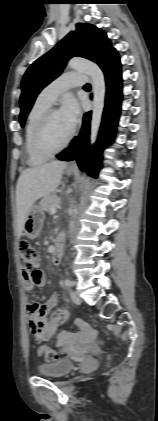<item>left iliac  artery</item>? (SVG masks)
Wrapping results in <instances>:
<instances>
[{
  "label": "left iliac artery",
  "mask_w": 158,
  "mask_h": 421,
  "mask_svg": "<svg viewBox=\"0 0 158 421\" xmlns=\"http://www.w3.org/2000/svg\"><path fill=\"white\" fill-rule=\"evenodd\" d=\"M64 283H65V285H66V286H68V287H71V286H73V285H74V283H73L71 280H69V279H66Z\"/></svg>",
  "instance_id": "left-iliac-artery-1"
}]
</instances>
